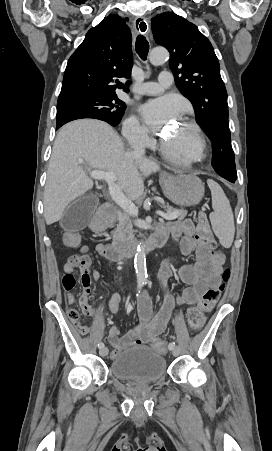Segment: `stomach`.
<instances>
[{"label":"stomach","instance_id":"1","mask_svg":"<svg viewBox=\"0 0 272 451\" xmlns=\"http://www.w3.org/2000/svg\"><path fill=\"white\" fill-rule=\"evenodd\" d=\"M159 182L166 198L177 206H196L204 196V186L194 174L161 176Z\"/></svg>","mask_w":272,"mask_h":451}]
</instances>
